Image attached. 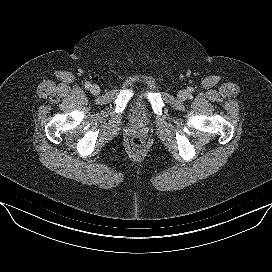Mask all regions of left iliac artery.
<instances>
[{"label":"left iliac artery","mask_w":272,"mask_h":272,"mask_svg":"<svg viewBox=\"0 0 272 272\" xmlns=\"http://www.w3.org/2000/svg\"><path fill=\"white\" fill-rule=\"evenodd\" d=\"M189 91H190V92L193 91V88L190 87V88H189Z\"/></svg>","instance_id":"44dca946"}]
</instances>
